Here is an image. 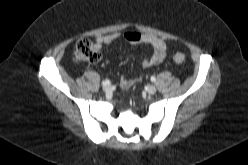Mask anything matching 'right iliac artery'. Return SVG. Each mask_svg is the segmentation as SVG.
I'll use <instances>...</instances> for the list:
<instances>
[{
    "label": "right iliac artery",
    "mask_w": 248,
    "mask_h": 165,
    "mask_svg": "<svg viewBox=\"0 0 248 165\" xmlns=\"http://www.w3.org/2000/svg\"><path fill=\"white\" fill-rule=\"evenodd\" d=\"M109 84H110V80H108V79L102 81L103 86H106V85H109Z\"/></svg>",
    "instance_id": "1"
}]
</instances>
